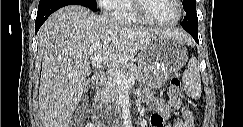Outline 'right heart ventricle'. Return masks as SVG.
<instances>
[{
    "instance_id": "1",
    "label": "right heart ventricle",
    "mask_w": 243,
    "mask_h": 127,
    "mask_svg": "<svg viewBox=\"0 0 243 127\" xmlns=\"http://www.w3.org/2000/svg\"><path fill=\"white\" fill-rule=\"evenodd\" d=\"M110 9L112 16L120 22L145 23L134 10V0H113L110 4Z\"/></svg>"
}]
</instances>
